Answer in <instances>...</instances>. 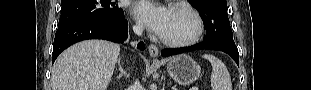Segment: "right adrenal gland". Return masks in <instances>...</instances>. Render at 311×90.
Masks as SVG:
<instances>
[{
	"label": "right adrenal gland",
	"instance_id": "right-adrenal-gland-1",
	"mask_svg": "<svg viewBox=\"0 0 311 90\" xmlns=\"http://www.w3.org/2000/svg\"><path fill=\"white\" fill-rule=\"evenodd\" d=\"M118 65H119V72H120L118 75V79L122 78L123 76L126 78H129V74L122 68L120 59L118 60Z\"/></svg>",
	"mask_w": 311,
	"mask_h": 90
}]
</instances>
